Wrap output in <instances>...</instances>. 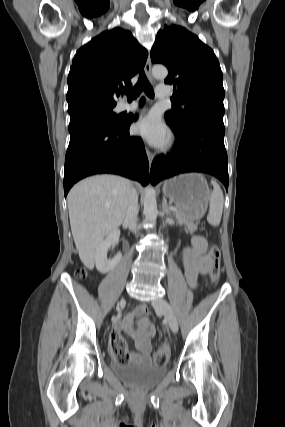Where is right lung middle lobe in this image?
Returning a JSON list of instances; mask_svg holds the SVG:
<instances>
[{
	"label": "right lung middle lobe",
	"instance_id": "dd1d6c3e",
	"mask_svg": "<svg viewBox=\"0 0 285 427\" xmlns=\"http://www.w3.org/2000/svg\"><path fill=\"white\" fill-rule=\"evenodd\" d=\"M115 105H96L86 107L70 114L69 132L79 125L90 121H101L109 125L122 123L123 117L113 112Z\"/></svg>",
	"mask_w": 285,
	"mask_h": 427
}]
</instances>
